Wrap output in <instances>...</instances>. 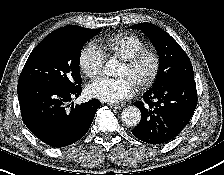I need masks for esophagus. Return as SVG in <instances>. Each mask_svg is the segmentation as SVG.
I'll return each mask as SVG.
<instances>
[{"mask_svg":"<svg viewBox=\"0 0 224 175\" xmlns=\"http://www.w3.org/2000/svg\"><path fill=\"white\" fill-rule=\"evenodd\" d=\"M109 106L111 108H115V109H122L124 107V104H113V103H110Z\"/></svg>","mask_w":224,"mask_h":175,"instance_id":"obj_1","label":"esophagus"}]
</instances>
